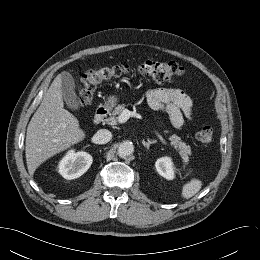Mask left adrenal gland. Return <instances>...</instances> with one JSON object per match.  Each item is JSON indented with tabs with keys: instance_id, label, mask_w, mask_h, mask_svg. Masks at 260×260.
<instances>
[{
	"instance_id": "1",
	"label": "left adrenal gland",
	"mask_w": 260,
	"mask_h": 260,
	"mask_svg": "<svg viewBox=\"0 0 260 260\" xmlns=\"http://www.w3.org/2000/svg\"><path fill=\"white\" fill-rule=\"evenodd\" d=\"M157 141L156 140H147V142L145 140H142V144L147 148L149 149L150 145L151 144H155Z\"/></svg>"
}]
</instances>
